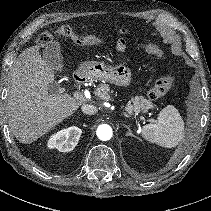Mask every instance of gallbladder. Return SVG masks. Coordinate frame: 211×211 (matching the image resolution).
I'll return each mask as SVG.
<instances>
[{"mask_svg": "<svg viewBox=\"0 0 211 211\" xmlns=\"http://www.w3.org/2000/svg\"><path fill=\"white\" fill-rule=\"evenodd\" d=\"M43 59L53 68V70L55 71L62 70L63 57L58 42H52L44 48Z\"/></svg>", "mask_w": 211, "mask_h": 211, "instance_id": "bac80fb5", "label": "gallbladder"}]
</instances>
